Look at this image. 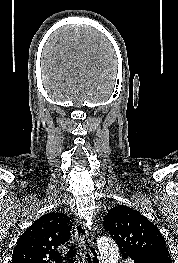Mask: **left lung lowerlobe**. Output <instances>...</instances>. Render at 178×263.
<instances>
[{
    "mask_svg": "<svg viewBox=\"0 0 178 263\" xmlns=\"http://www.w3.org/2000/svg\"><path fill=\"white\" fill-rule=\"evenodd\" d=\"M123 258H128L126 255H122ZM134 263H172V260L163 258H139L134 260Z\"/></svg>",
    "mask_w": 178,
    "mask_h": 263,
    "instance_id": "left-lung-lower-lobe-1",
    "label": "left lung lower lobe"
}]
</instances>
